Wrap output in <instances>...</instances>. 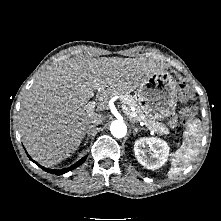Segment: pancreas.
I'll list each match as a JSON object with an SVG mask.
<instances>
[{
	"instance_id": "1",
	"label": "pancreas",
	"mask_w": 221,
	"mask_h": 221,
	"mask_svg": "<svg viewBox=\"0 0 221 221\" xmlns=\"http://www.w3.org/2000/svg\"><path fill=\"white\" fill-rule=\"evenodd\" d=\"M123 103L128 108L132 107V106L135 107V111H130L131 115H129V117L132 120H134V121H143L148 129L153 130V131H155L159 134H162V135L169 134V130L164 124L156 123L154 121H150L147 118H145L143 113L137 107L136 101L132 96H128V97L124 98Z\"/></svg>"
}]
</instances>
